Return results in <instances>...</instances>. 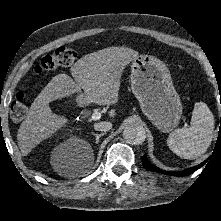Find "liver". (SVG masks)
Wrapping results in <instances>:
<instances>
[{
	"instance_id": "obj_1",
	"label": "liver",
	"mask_w": 221,
	"mask_h": 221,
	"mask_svg": "<svg viewBox=\"0 0 221 221\" xmlns=\"http://www.w3.org/2000/svg\"><path fill=\"white\" fill-rule=\"evenodd\" d=\"M139 56L128 47H108L85 55L71 67V75L61 73L40 92L18 130V146L28 155L41 141L68 123V119L52 112L49 103L84 90V100L98 105L118 102L121 76L125 67ZM115 110L109 111L114 117Z\"/></svg>"
}]
</instances>
